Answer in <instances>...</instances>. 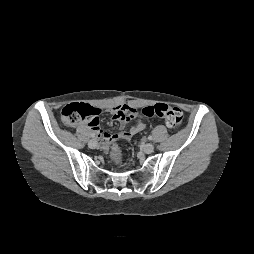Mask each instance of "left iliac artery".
Here are the masks:
<instances>
[{"mask_svg": "<svg viewBox=\"0 0 254 254\" xmlns=\"http://www.w3.org/2000/svg\"><path fill=\"white\" fill-rule=\"evenodd\" d=\"M148 139H149V140H151V139H152V136H151V135H149V136H148Z\"/></svg>", "mask_w": 254, "mask_h": 254, "instance_id": "obj_1", "label": "left iliac artery"}]
</instances>
